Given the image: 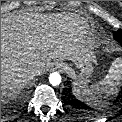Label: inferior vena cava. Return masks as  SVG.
I'll use <instances>...</instances> for the list:
<instances>
[{
    "mask_svg": "<svg viewBox=\"0 0 122 122\" xmlns=\"http://www.w3.org/2000/svg\"><path fill=\"white\" fill-rule=\"evenodd\" d=\"M45 69L44 63H38L36 69L34 70L35 74H40Z\"/></svg>",
    "mask_w": 122,
    "mask_h": 122,
    "instance_id": "602c4592",
    "label": "inferior vena cava"
}]
</instances>
